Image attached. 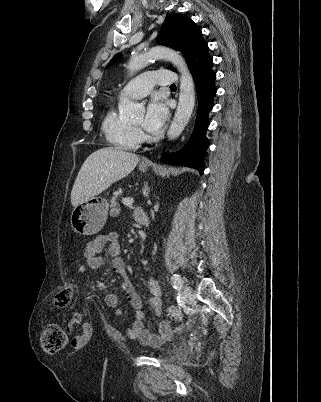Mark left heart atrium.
<instances>
[{
	"instance_id": "39dd6f15",
	"label": "left heart atrium",
	"mask_w": 321,
	"mask_h": 402,
	"mask_svg": "<svg viewBox=\"0 0 321 402\" xmlns=\"http://www.w3.org/2000/svg\"><path fill=\"white\" fill-rule=\"evenodd\" d=\"M166 105L158 98H153L147 105L143 126L149 133H158L168 118Z\"/></svg>"
}]
</instances>
